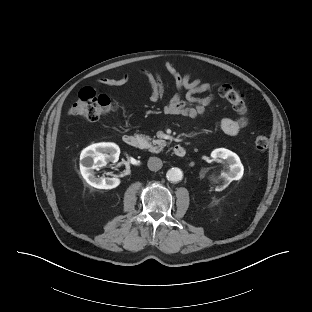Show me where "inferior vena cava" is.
Instances as JSON below:
<instances>
[{"label": "inferior vena cava", "instance_id": "inferior-vena-cava-1", "mask_svg": "<svg viewBox=\"0 0 312 312\" xmlns=\"http://www.w3.org/2000/svg\"><path fill=\"white\" fill-rule=\"evenodd\" d=\"M162 160L158 157H150L147 163L148 168L151 171H158L162 168Z\"/></svg>", "mask_w": 312, "mask_h": 312}]
</instances>
